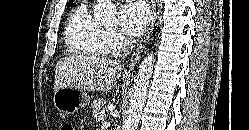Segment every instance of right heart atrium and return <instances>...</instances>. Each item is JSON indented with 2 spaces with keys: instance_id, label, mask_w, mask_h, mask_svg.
<instances>
[{
  "instance_id": "obj_1",
  "label": "right heart atrium",
  "mask_w": 249,
  "mask_h": 130,
  "mask_svg": "<svg viewBox=\"0 0 249 130\" xmlns=\"http://www.w3.org/2000/svg\"><path fill=\"white\" fill-rule=\"evenodd\" d=\"M107 41L109 45V51L113 53L121 51L128 44V41L125 39V37L115 29L107 30Z\"/></svg>"
}]
</instances>
